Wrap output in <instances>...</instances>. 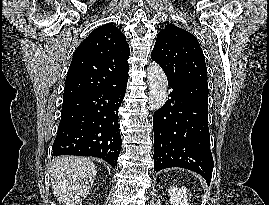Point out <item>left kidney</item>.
<instances>
[{
  "mask_svg": "<svg viewBox=\"0 0 269 205\" xmlns=\"http://www.w3.org/2000/svg\"><path fill=\"white\" fill-rule=\"evenodd\" d=\"M169 194L171 205H189L187 189L185 187L177 188L172 186L170 187Z\"/></svg>",
  "mask_w": 269,
  "mask_h": 205,
  "instance_id": "1",
  "label": "left kidney"
}]
</instances>
